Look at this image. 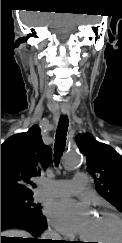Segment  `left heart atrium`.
Returning <instances> with one entry per match:
<instances>
[{
	"mask_svg": "<svg viewBox=\"0 0 122 243\" xmlns=\"http://www.w3.org/2000/svg\"><path fill=\"white\" fill-rule=\"evenodd\" d=\"M47 215L52 225L66 235H83L91 219V211L85 203L70 198L53 201Z\"/></svg>",
	"mask_w": 122,
	"mask_h": 243,
	"instance_id": "obj_1",
	"label": "left heart atrium"
}]
</instances>
